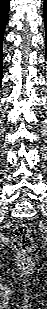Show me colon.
I'll list each match as a JSON object with an SVG mask.
<instances>
[{"mask_svg": "<svg viewBox=\"0 0 47 309\" xmlns=\"http://www.w3.org/2000/svg\"><path fill=\"white\" fill-rule=\"evenodd\" d=\"M12 242L18 266L24 270L31 269L34 262L30 253L33 250L34 241L30 229L25 225L17 226L13 230Z\"/></svg>", "mask_w": 47, "mask_h": 309, "instance_id": "colon-1", "label": "colon"}]
</instances>
